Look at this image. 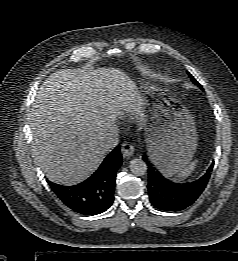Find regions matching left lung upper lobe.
I'll return each mask as SVG.
<instances>
[{
    "label": "left lung upper lobe",
    "mask_w": 238,
    "mask_h": 261,
    "mask_svg": "<svg viewBox=\"0 0 238 261\" xmlns=\"http://www.w3.org/2000/svg\"><path fill=\"white\" fill-rule=\"evenodd\" d=\"M188 75L190 76V78L192 79V81L197 84L199 87H201V85L198 83V81L190 74L188 73Z\"/></svg>",
    "instance_id": "obj_1"
}]
</instances>
